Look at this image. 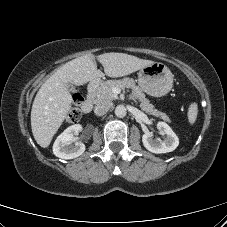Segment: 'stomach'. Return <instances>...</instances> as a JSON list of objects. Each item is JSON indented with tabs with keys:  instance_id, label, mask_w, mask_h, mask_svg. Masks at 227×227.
Wrapping results in <instances>:
<instances>
[{
	"instance_id": "0dacf381",
	"label": "stomach",
	"mask_w": 227,
	"mask_h": 227,
	"mask_svg": "<svg viewBox=\"0 0 227 227\" xmlns=\"http://www.w3.org/2000/svg\"><path fill=\"white\" fill-rule=\"evenodd\" d=\"M138 84L147 94L154 97L166 95L173 86V75L162 63L154 62L140 69Z\"/></svg>"
}]
</instances>
